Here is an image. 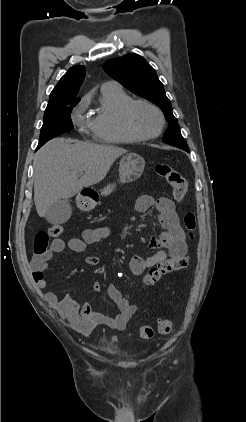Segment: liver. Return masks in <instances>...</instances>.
<instances>
[{
	"label": "liver",
	"mask_w": 246,
	"mask_h": 422,
	"mask_svg": "<svg viewBox=\"0 0 246 422\" xmlns=\"http://www.w3.org/2000/svg\"><path fill=\"white\" fill-rule=\"evenodd\" d=\"M125 149L88 142L55 138L46 143L34 158V202L44 217L59 199H68L84 187L102 181L114 161ZM84 174L78 178L80 170Z\"/></svg>",
	"instance_id": "obj_1"
}]
</instances>
